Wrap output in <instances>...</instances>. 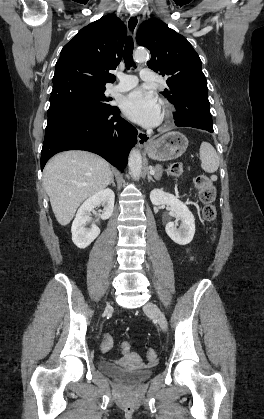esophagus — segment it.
<instances>
[{"mask_svg":"<svg viewBox=\"0 0 264 419\" xmlns=\"http://www.w3.org/2000/svg\"><path fill=\"white\" fill-rule=\"evenodd\" d=\"M138 24H139L138 14H132L127 20V29L131 37H135ZM137 140H138V146L143 147L149 141V136L143 131L139 130L138 135H137Z\"/></svg>","mask_w":264,"mask_h":419,"instance_id":"esophagus-1","label":"esophagus"}]
</instances>
